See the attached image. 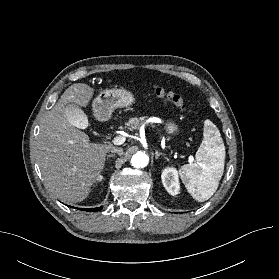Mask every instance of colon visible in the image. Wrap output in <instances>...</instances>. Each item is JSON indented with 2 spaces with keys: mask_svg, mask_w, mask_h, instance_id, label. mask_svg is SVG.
I'll return each instance as SVG.
<instances>
[{
  "mask_svg": "<svg viewBox=\"0 0 279 279\" xmlns=\"http://www.w3.org/2000/svg\"><path fill=\"white\" fill-rule=\"evenodd\" d=\"M155 95L158 98L166 99V100L170 101L180 111L186 110V104H185L183 98L174 92L166 91L163 88H157L155 90Z\"/></svg>",
  "mask_w": 279,
  "mask_h": 279,
  "instance_id": "5ec220e1",
  "label": "colon"
}]
</instances>
